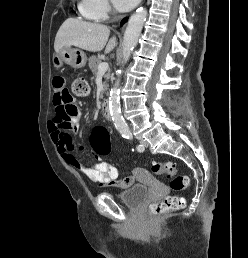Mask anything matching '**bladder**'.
<instances>
[{
	"instance_id": "1",
	"label": "bladder",
	"mask_w": 248,
	"mask_h": 258,
	"mask_svg": "<svg viewBox=\"0 0 248 258\" xmlns=\"http://www.w3.org/2000/svg\"><path fill=\"white\" fill-rule=\"evenodd\" d=\"M149 195L146 185L135 184L117 195L119 200L128 208H139Z\"/></svg>"
}]
</instances>
